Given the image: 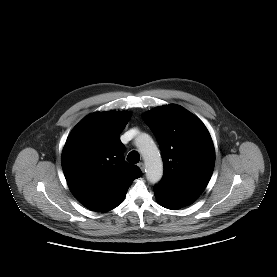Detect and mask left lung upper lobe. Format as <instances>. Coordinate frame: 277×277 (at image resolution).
I'll return each instance as SVG.
<instances>
[{
  "instance_id": "left-lung-upper-lobe-1",
  "label": "left lung upper lobe",
  "mask_w": 277,
  "mask_h": 277,
  "mask_svg": "<svg viewBox=\"0 0 277 277\" xmlns=\"http://www.w3.org/2000/svg\"><path fill=\"white\" fill-rule=\"evenodd\" d=\"M143 119L161 148L164 174L160 184L200 195L215 164L214 145L205 125L178 105L155 108Z\"/></svg>"
}]
</instances>
